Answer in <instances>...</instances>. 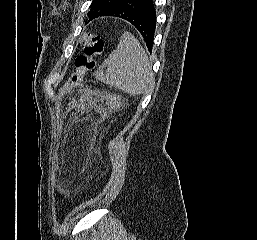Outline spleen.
Returning <instances> with one entry per match:
<instances>
[{
	"instance_id": "obj_1",
	"label": "spleen",
	"mask_w": 257,
	"mask_h": 240,
	"mask_svg": "<svg viewBox=\"0 0 257 240\" xmlns=\"http://www.w3.org/2000/svg\"><path fill=\"white\" fill-rule=\"evenodd\" d=\"M95 75L97 80L132 95L150 92L154 82L148 56L130 32L122 34L117 49L104 60Z\"/></svg>"
}]
</instances>
